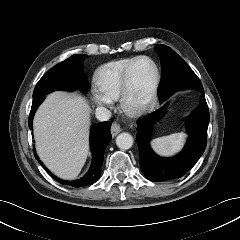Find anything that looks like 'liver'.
I'll return each mask as SVG.
<instances>
[{"mask_svg": "<svg viewBox=\"0 0 240 240\" xmlns=\"http://www.w3.org/2000/svg\"><path fill=\"white\" fill-rule=\"evenodd\" d=\"M90 106L76 94L53 92L34 117L37 152L44 164L58 177L74 179L88 155Z\"/></svg>", "mask_w": 240, "mask_h": 240, "instance_id": "1", "label": "liver"}]
</instances>
